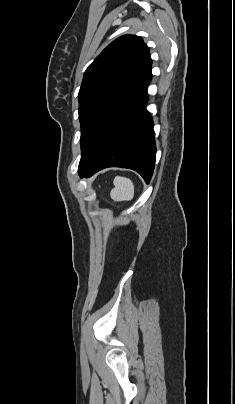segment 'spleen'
I'll return each instance as SVG.
<instances>
[{"label": "spleen", "instance_id": "spleen-1", "mask_svg": "<svg viewBox=\"0 0 235 404\" xmlns=\"http://www.w3.org/2000/svg\"><path fill=\"white\" fill-rule=\"evenodd\" d=\"M115 188L111 190L110 196L114 201H130L134 197V185L125 177L117 176L114 179Z\"/></svg>", "mask_w": 235, "mask_h": 404}]
</instances>
